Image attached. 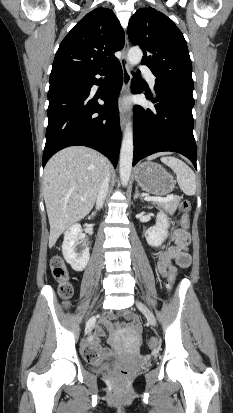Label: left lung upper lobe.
<instances>
[{"mask_svg":"<svg viewBox=\"0 0 233 413\" xmlns=\"http://www.w3.org/2000/svg\"><path fill=\"white\" fill-rule=\"evenodd\" d=\"M128 37L140 46L142 62L157 78L193 91L187 44L171 19L150 7L139 9L129 21Z\"/></svg>","mask_w":233,"mask_h":413,"instance_id":"5c2ea615","label":"left lung upper lobe"}]
</instances>
